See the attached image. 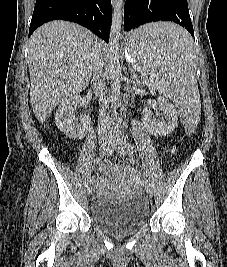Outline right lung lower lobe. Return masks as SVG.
Instances as JSON below:
<instances>
[{
    "label": "right lung lower lobe",
    "instance_id": "obj_1",
    "mask_svg": "<svg viewBox=\"0 0 227 267\" xmlns=\"http://www.w3.org/2000/svg\"><path fill=\"white\" fill-rule=\"evenodd\" d=\"M111 0H36L29 37L36 28L52 20L78 23L109 42Z\"/></svg>",
    "mask_w": 227,
    "mask_h": 267
}]
</instances>
